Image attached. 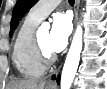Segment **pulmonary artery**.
I'll use <instances>...</instances> for the list:
<instances>
[{
	"label": "pulmonary artery",
	"instance_id": "1",
	"mask_svg": "<svg viewBox=\"0 0 107 89\" xmlns=\"http://www.w3.org/2000/svg\"><path fill=\"white\" fill-rule=\"evenodd\" d=\"M59 3L60 0H41L30 9L28 14L32 18L41 21L47 17Z\"/></svg>",
	"mask_w": 107,
	"mask_h": 89
}]
</instances>
